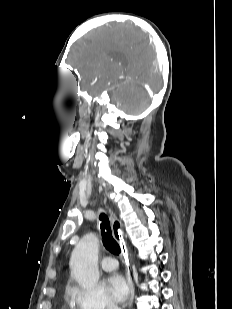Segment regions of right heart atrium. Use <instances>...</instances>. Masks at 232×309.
<instances>
[{"label": "right heart atrium", "instance_id": "1", "mask_svg": "<svg viewBox=\"0 0 232 309\" xmlns=\"http://www.w3.org/2000/svg\"><path fill=\"white\" fill-rule=\"evenodd\" d=\"M67 295L76 309H119L111 296L102 288H81L70 285Z\"/></svg>", "mask_w": 232, "mask_h": 309}]
</instances>
